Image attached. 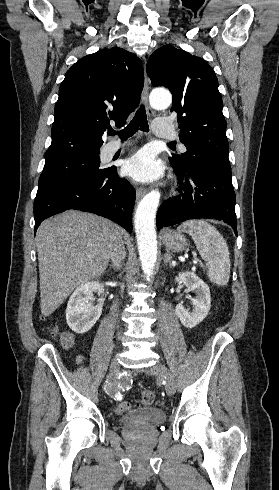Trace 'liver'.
Masks as SVG:
<instances>
[{
    "instance_id": "6515ba94",
    "label": "liver",
    "mask_w": 279,
    "mask_h": 490,
    "mask_svg": "<svg viewBox=\"0 0 279 490\" xmlns=\"http://www.w3.org/2000/svg\"><path fill=\"white\" fill-rule=\"evenodd\" d=\"M118 236L128 240L117 224L76 210L42 222L35 238L42 316H51L80 284L104 274Z\"/></svg>"
}]
</instances>
